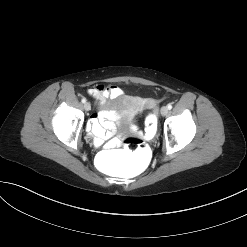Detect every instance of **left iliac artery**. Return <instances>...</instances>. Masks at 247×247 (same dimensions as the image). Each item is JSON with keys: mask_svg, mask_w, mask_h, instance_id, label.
<instances>
[{"mask_svg": "<svg viewBox=\"0 0 247 247\" xmlns=\"http://www.w3.org/2000/svg\"><path fill=\"white\" fill-rule=\"evenodd\" d=\"M167 108H168L169 110H171V109H172V105H171V104H168V105H167Z\"/></svg>", "mask_w": 247, "mask_h": 247, "instance_id": "1", "label": "left iliac artery"}]
</instances>
